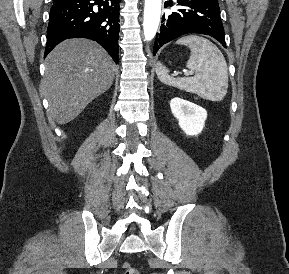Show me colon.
Masks as SVG:
<instances>
[{
  "label": "colon",
  "mask_w": 289,
  "mask_h": 274,
  "mask_svg": "<svg viewBox=\"0 0 289 274\" xmlns=\"http://www.w3.org/2000/svg\"><path fill=\"white\" fill-rule=\"evenodd\" d=\"M124 274H140V272L133 267L129 262L123 263Z\"/></svg>",
  "instance_id": "1"
}]
</instances>
